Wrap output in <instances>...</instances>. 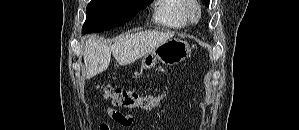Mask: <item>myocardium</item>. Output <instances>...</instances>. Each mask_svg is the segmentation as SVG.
Returning <instances> with one entry per match:
<instances>
[{"mask_svg": "<svg viewBox=\"0 0 299 130\" xmlns=\"http://www.w3.org/2000/svg\"><path fill=\"white\" fill-rule=\"evenodd\" d=\"M185 16L191 23H197L201 16V8L197 1L187 0V7L185 10Z\"/></svg>", "mask_w": 299, "mask_h": 130, "instance_id": "1", "label": "myocardium"}]
</instances>
